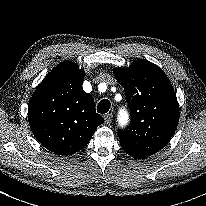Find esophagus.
Instances as JSON below:
<instances>
[{
    "instance_id": "1",
    "label": "esophagus",
    "mask_w": 206,
    "mask_h": 206,
    "mask_svg": "<svg viewBox=\"0 0 206 206\" xmlns=\"http://www.w3.org/2000/svg\"><path fill=\"white\" fill-rule=\"evenodd\" d=\"M112 118H113V115H112L111 113L106 114V115L104 116L105 123H106V124H110L111 121H112Z\"/></svg>"
}]
</instances>
